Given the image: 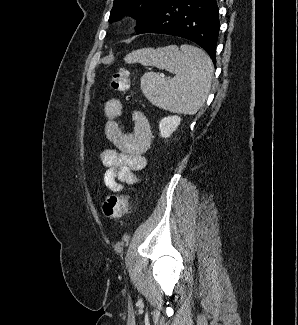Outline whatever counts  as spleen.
Wrapping results in <instances>:
<instances>
[{
    "label": "spleen",
    "mask_w": 298,
    "mask_h": 325,
    "mask_svg": "<svg viewBox=\"0 0 298 325\" xmlns=\"http://www.w3.org/2000/svg\"><path fill=\"white\" fill-rule=\"evenodd\" d=\"M124 60L165 68L175 74L173 78H161L157 72H145L140 78L144 96L163 110L196 114L210 92L213 62L198 46L169 44L160 48H137L128 52Z\"/></svg>",
    "instance_id": "obj_1"
}]
</instances>
